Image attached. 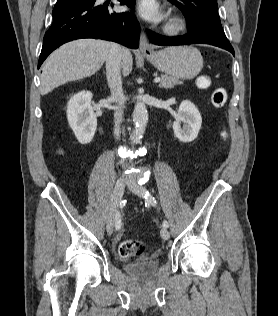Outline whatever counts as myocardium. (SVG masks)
<instances>
[{
    "instance_id": "1",
    "label": "myocardium",
    "mask_w": 278,
    "mask_h": 316,
    "mask_svg": "<svg viewBox=\"0 0 278 316\" xmlns=\"http://www.w3.org/2000/svg\"><path fill=\"white\" fill-rule=\"evenodd\" d=\"M184 28H185L184 21L177 16H172L165 24L164 30L168 34H177L183 31Z\"/></svg>"
}]
</instances>
